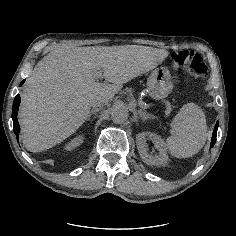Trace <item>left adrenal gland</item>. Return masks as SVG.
<instances>
[{"instance_id": "left-adrenal-gland-1", "label": "left adrenal gland", "mask_w": 236, "mask_h": 236, "mask_svg": "<svg viewBox=\"0 0 236 236\" xmlns=\"http://www.w3.org/2000/svg\"><path fill=\"white\" fill-rule=\"evenodd\" d=\"M139 116L143 121L149 119V118H154L155 116L152 114H149L147 112L142 111L141 109L138 111Z\"/></svg>"}]
</instances>
